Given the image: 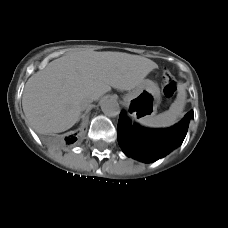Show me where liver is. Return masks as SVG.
I'll return each mask as SVG.
<instances>
[{"mask_svg": "<svg viewBox=\"0 0 228 228\" xmlns=\"http://www.w3.org/2000/svg\"><path fill=\"white\" fill-rule=\"evenodd\" d=\"M158 66L122 52H74L51 61L27 81L22 107L29 125L41 134L70 129L81 113L80 101L98 100L112 88L130 91Z\"/></svg>", "mask_w": 228, "mask_h": 228, "instance_id": "1", "label": "liver"}]
</instances>
